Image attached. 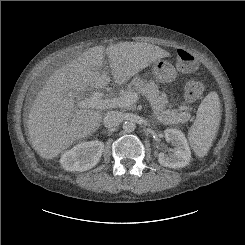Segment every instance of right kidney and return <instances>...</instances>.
<instances>
[{"mask_svg": "<svg viewBox=\"0 0 245 245\" xmlns=\"http://www.w3.org/2000/svg\"><path fill=\"white\" fill-rule=\"evenodd\" d=\"M104 144L98 140L82 142L61 155L60 163L67 171H86L100 160Z\"/></svg>", "mask_w": 245, "mask_h": 245, "instance_id": "ca27d5eb", "label": "right kidney"}]
</instances>
